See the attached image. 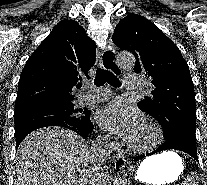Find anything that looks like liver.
<instances>
[{"mask_svg":"<svg viewBox=\"0 0 207 185\" xmlns=\"http://www.w3.org/2000/svg\"><path fill=\"white\" fill-rule=\"evenodd\" d=\"M96 155L75 131L37 129L17 149L14 185H94Z\"/></svg>","mask_w":207,"mask_h":185,"instance_id":"1","label":"liver"}]
</instances>
